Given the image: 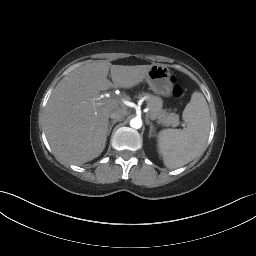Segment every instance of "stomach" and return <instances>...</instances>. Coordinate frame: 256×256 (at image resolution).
<instances>
[{"label":"stomach","instance_id":"1","mask_svg":"<svg viewBox=\"0 0 256 256\" xmlns=\"http://www.w3.org/2000/svg\"><path fill=\"white\" fill-rule=\"evenodd\" d=\"M150 89L158 95L168 97L171 95L173 84L169 68L163 64H153L145 77Z\"/></svg>","mask_w":256,"mask_h":256}]
</instances>
